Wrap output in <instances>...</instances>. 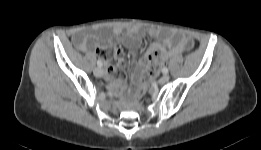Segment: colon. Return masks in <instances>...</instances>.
I'll use <instances>...</instances> for the list:
<instances>
[{
  "label": "colon",
  "instance_id": "obj_1",
  "mask_svg": "<svg viewBox=\"0 0 261 150\" xmlns=\"http://www.w3.org/2000/svg\"><path fill=\"white\" fill-rule=\"evenodd\" d=\"M162 60L163 57L160 49L153 48L149 53V67L140 75L139 81L135 86L136 91L140 92L144 88L146 82L155 75Z\"/></svg>",
  "mask_w": 261,
  "mask_h": 150
}]
</instances>
